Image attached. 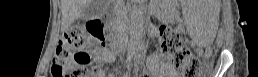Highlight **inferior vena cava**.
Segmentation results:
<instances>
[{"instance_id":"inferior-vena-cava-1","label":"inferior vena cava","mask_w":258,"mask_h":77,"mask_svg":"<svg viewBox=\"0 0 258 77\" xmlns=\"http://www.w3.org/2000/svg\"><path fill=\"white\" fill-rule=\"evenodd\" d=\"M126 17H127V13H126L125 9L121 6L117 11V21L120 26L125 25Z\"/></svg>"}]
</instances>
